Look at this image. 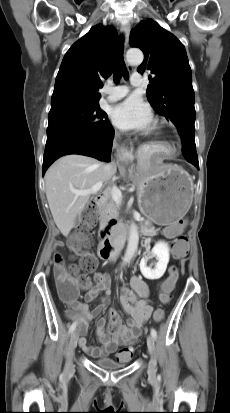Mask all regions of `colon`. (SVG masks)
Segmentation results:
<instances>
[{
  "instance_id": "colon-1",
  "label": "colon",
  "mask_w": 230,
  "mask_h": 413,
  "mask_svg": "<svg viewBox=\"0 0 230 413\" xmlns=\"http://www.w3.org/2000/svg\"><path fill=\"white\" fill-rule=\"evenodd\" d=\"M97 211L93 205H88L83 212V223L79 231L74 234L70 241V248L77 254H81L82 248L90 241V231L96 223ZM183 221H179L182 225ZM190 245L189 240L185 235H179L174 241V257L185 258L187 252L185 248ZM97 266V259L92 254H84L81 259V267L85 272L92 271ZM53 274L55 283L59 294L66 301H71L75 298L76 292L79 288H86L90 285V280L86 274H79L75 266L67 268L63 257L59 253L53 256ZM179 271L177 266L172 265L169 269L168 278L161 279V293L159 299L162 304H167L170 300L171 291L176 286ZM164 317V310L159 307L155 314V321H161ZM128 356H132L133 348L128 347L123 350Z\"/></svg>"
}]
</instances>
